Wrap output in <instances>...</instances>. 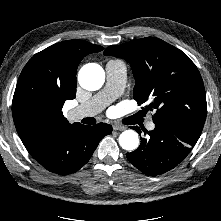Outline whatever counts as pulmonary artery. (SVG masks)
<instances>
[{
  "label": "pulmonary artery",
  "instance_id": "pulmonary-artery-1",
  "mask_svg": "<svg viewBox=\"0 0 221 221\" xmlns=\"http://www.w3.org/2000/svg\"><path fill=\"white\" fill-rule=\"evenodd\" d=\"M105 71V87L87 102L72 109L69 113L72 120H79L98 114L123 93L127 71L125 63L121 60H109L106 63ZM147 128L148 130H153L155 124L150 121L147 124Z\"/></svg>",
  "mask_w": 221,
  "mask_h": 221
}]
</instances>
